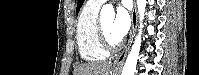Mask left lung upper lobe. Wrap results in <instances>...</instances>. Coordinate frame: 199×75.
Segmentation results:
<instances>
[{
    "instance_id": "1",
    "label": "left lung upper lobe",
    "mask_w": 199,
    "mask_h": 75,
    "mask_svg": "<svg viewBox=\"0 0 199 75\" xmlns=\"http://www.w3.org/2000/svg\"><path fill=\"white\" fill-rule=\"evenodd\" d=\"M83 2H84V0H78L77 8H76V13H78V12H79V10H80V8H81V6H82Z\"/></svg>"
}]
</instances>
